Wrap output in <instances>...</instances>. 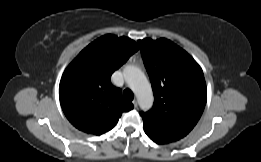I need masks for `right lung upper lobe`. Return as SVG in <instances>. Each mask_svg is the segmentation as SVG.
<instances>
[{
  "instance_id": "obj_1",
  "label": "right lung upper lobe",
  "mask_w": 261,
  "mask_h": 162,
  "mask_svg": "<svg viewBox=\"0 0 261 162\" xmlns=\"http://www.w3.org/2000/svg\"><path fill=\"white\" fill-rule=\"evenodd\" d=\"M138 49L130 38L104 35L70 63L60 81L59 98L73 126L101 135L115 126L123 112L133 109L110 77Z\"/></svg>"
}]
</instances>
